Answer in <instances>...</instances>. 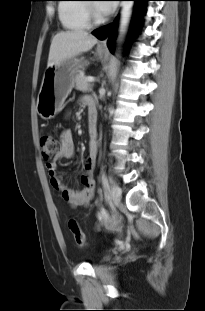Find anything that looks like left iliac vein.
Here are the masks:
<instances>
[{"mask_svg":"<svg viewBox=\"0 0 205 311\" xmlns=\"http://www.w3.org/2000/svg\"><path fill=\"white\" fill-rule=\"evenodd\" d=\"M111 199L114 205H116L121 199V188L117 184H112L110 188Z\"/></svg>","mask_w":205,"mask_h":311,"instance_id":"4c4485c4","label":"left iliac vein"}]
</instances>
